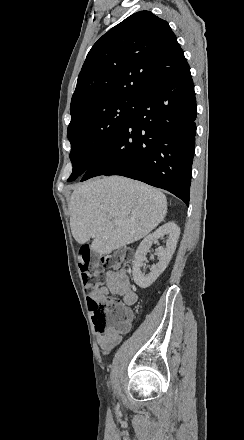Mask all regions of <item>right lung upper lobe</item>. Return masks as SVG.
<instances>
[{"instance_id":"cb5924a9","label":"right lung upper lobe","mask_w":244,"mask_h":440,"mask_svg":"<svg viewBox=\"0 0 244 440\" xmlns=\"http://www.w3.org/2000/svg\"><path fill=\"white\" fill-rule=\"evenodd\" d=\"M186 62L168 22L150 11L132 14L91 48L70 110L107 98H141L165 71Z\"/></svg>"}]
</instances>
